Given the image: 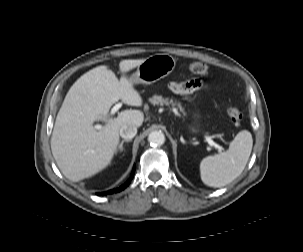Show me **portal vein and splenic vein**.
I'll return each mask as SVG.
<instances>
[{"label":"portal vein and splenic vein","mask_w":303,"mask_h":252,"mask_svg":"<svg viewBox=\"0 0 303 252\" xmlns=\"http://www.w3.org/2000/svg\"><path fill=\"white\" fill-rule=\"evenodd\" d=\"M121 107V104L118 103L116 104L112 109H111V115H114L118 110L119 108ZM95 129L99 130L102 128V125H99V124H96L94 126ZM206 141L208 142V144L212 147H215L217 149H219L220 151L224 150V148L218 144H216L210 137H206Z\"/></svg>","instance_id":"obj_1"}]
</instances>
